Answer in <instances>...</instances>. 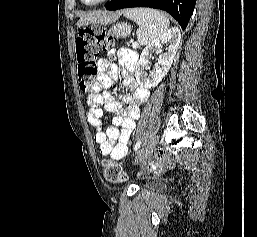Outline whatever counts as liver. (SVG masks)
Instances as JSON below:
<instances>
[{"mask_svg":"<svg viewBox=\"0 0 257 237\" xmlns=\"http://www.w3.org/2000/svg\"><path fill=\"white\" fill-rule=\"evenodd\" d=\"M122 12H116L115 14H106V13H93L91 15H87L82 17L77 25L80 27L82 25L88 24V23H103V24H108L111 22H114L117 20Z\"/></svg>","mask_w":257,"mask_h":237,"instance_id":"liver-1","label":"liver"}]
</instances>
